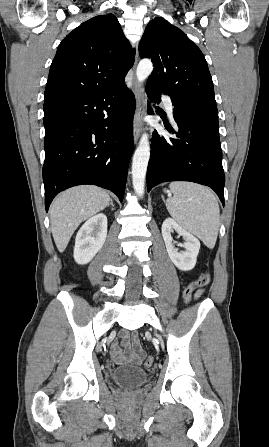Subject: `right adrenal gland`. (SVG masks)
<instances>
[{
	"label": "right adrenal gland",
	"mask_w": 269,
	"mask_h": 447,
	"mask_svg": "<svg viewBox=\"0 0 269 447\" xmlns=\"http://www.w3.org/2000/svg\"><path fill=\"white\" fill-rule=\"evenodd\" d=\"M109 206H112V210H114V206H113L112 198H110V204H109Z\"/></svg>",
	"instance_id": "right-adrenal-gland-1"
}]
</instances>
